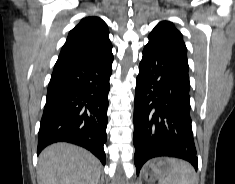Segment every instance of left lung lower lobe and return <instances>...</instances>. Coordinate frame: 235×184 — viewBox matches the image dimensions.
<instances>
[{
	"mask_svg": "<svg viewBox=\"0 0 235 184\" xmlns=\"http://www.w3.org/2000/svg\"><path fill=\"white\" fill-rule=\"evenodd\" d=\"M189 66L173 47L149 41L136 80L133 142L137 175L154 157L169 156L198 168L190 117Z\"/></svg>",
	"mask_w": 235,
	"mask_h": 184,
	"instance_id": "left-lung-lower-lobe-1",
	"label": "left lung lower lobe"
}]
</instances>
